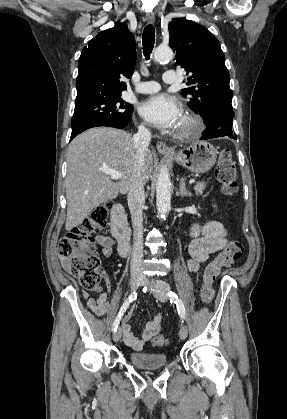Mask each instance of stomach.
I'll use <instances>...</instances> for the list:
<instances>
[{
    "label": "stomach",
    "instance_id": "1",
    "mask_svg": "<svg viewBox=\"0 0 287 419\" xmlns=\"http://www.w3.org/2000/svg\"><path fill=\"white\" fill-rule=\"evenodd\" d=\"M217 149L207 141H198L183 148L173 159L194 173L208 172L216 162Z\"/></svg>",
    "mask_w": 287,
    "mask_h": 419
}]
</instances>
